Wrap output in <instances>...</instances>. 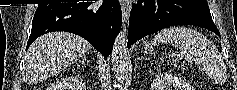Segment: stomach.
Returning a JSON list of instances; mask_svg holds the SVG:
<instances>
[{
    "mask_svg": "<svg viewBox=\"0 0 237 90\" xmlns=\"http://www.w3.org/2000/svg\"><path fill=\"white\" fill-rule=\"evenodd\" d=\"M150 47H151V46H150V44H148V43L145 45V49H146V50L150 49Z\"/></svg>",
    "mask_w": 237,
    "mask_h": 90,
    "instance_id": "obj_1",
    "label": "stomach"
}]
</instances>
